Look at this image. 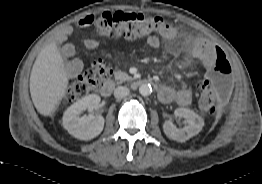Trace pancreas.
Segmentation results:
<instances>
[{
  "instance_id": "obj_1",
  "label": "pancreas",
  "mask_w": 262,
  "mask_h": 184,
  "mask_svg": "<svg viewBox=\"0 0 262 184\" xmlns=\"http://www.w3.org/2000/svg\"><path fill=\"white\" fill-rule=\"evenodd\" d=\"M115 79L119 82H125V81H129V80H133L132 77H130L128 74H126L125 72L122 71H117L115 73Z\"/></svg>"
}]
</instances>
